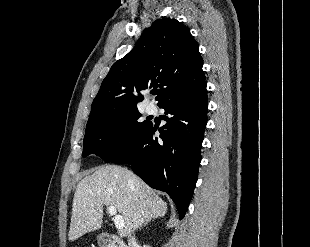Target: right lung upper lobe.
<instances>
[{
    "instance_id": "cb5924a9",
    "label": "right lung upper lobe",
    "mask_w": 310,
    "mask_h": 247,
    "mask_svg": "<svg viewBox=\"0 0 310 247\" xmlns=\"http://www.w3.org/2000/svg\"><path fill=\"white\" fill-rule=\"evenodd\" d=\"M198 43L176 19L161 18L135 47L118 60L93 100L88 123L105 115L137 109L142 91L160 87L158 106L205 81Z\"/></svg>"
}]
</instances>
